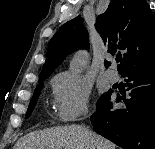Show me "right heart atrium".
Segmentation results:
<instances>
[{
    "label": "right heart atrium",
    "mask_w": 155,
    "mask_h": 149,
    "mask_svg": "<svg viewBox=\"0 0 155 149\" xmlns=\"http://www.w3.org/2000/svg\"><path fill=\"white\" fill-rule=\"evenodd\" d=\"M54 111L62 122L80 119L88 112L90 87L78 74L61 72L52 80Z\"/></svg>",
    "instance_id": "d8ad5b80"
}]
</instances>
